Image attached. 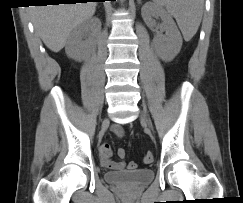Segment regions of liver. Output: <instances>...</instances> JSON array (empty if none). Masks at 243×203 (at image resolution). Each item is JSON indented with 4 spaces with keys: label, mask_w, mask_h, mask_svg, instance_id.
<instances>
[{
    "label": "liver",
    "mask_w": 243,
    "mask_h": 203,
    "mask_svg": "<svg viewBox=\"0 0 243 203\" xmlns=\"http://www.w3.org/2000/svg\"><path fill=\"white\" fill-rule=\"evenodd\" d=\"M96 2L34 6L31 9L36 33L53 52H59L74 28L91 18Z\"/></svg>",
    "instance_id": "6515ba94"
}]
</instances>
